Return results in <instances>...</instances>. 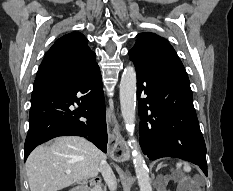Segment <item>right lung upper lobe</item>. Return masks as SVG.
I'll return each instance as SVG.
<instances>
[{
	"mask_svg": "<svg viewBox=\"0 0 233 191\" xmlns=\"http://www.w3.org/2000/svg\"><path fill=\"white\" fill-rule=\"evenodd\" d=\"M87 42L79 32L59 38L44 57L36 79L44 76L75 77L91 69L97 63Z\"/></svg>",
	"mask_w": 233,
	"mask_h": 191,
	"instance_id": "cb5924a9",
	"label": "right lung upper lobe"
}]
</instances>
